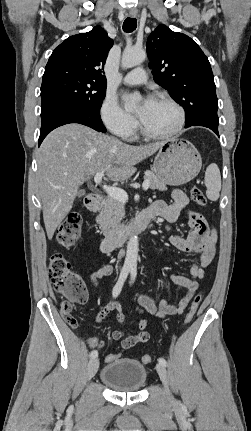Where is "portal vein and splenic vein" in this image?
<instances>
[{
    "label": "portal vein and splenic vein",
    "mask_w": 251,
    "mask_h": 431,
    "mask_svg": "<svg viewBox=\"0 0 251 431\" xmlns=\"http://www.w3.org/2000/svg\"><path fill=\"white\" fill-rule=\"evenodd\" d=\"M103 175V172L96 173L94 181L97 185L101 184ZM149 185L150 181L147 179H145L142 183V187L144 190H147L149 188ZM103 189L110 197L115 200H118L122 203H126L128 201V194L121 188L104 185Z\"/></svg>",
    "instance_id": "portal-vein-and-splenic-vein-1"
}]
</instances>
